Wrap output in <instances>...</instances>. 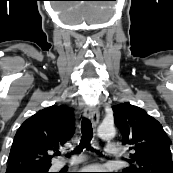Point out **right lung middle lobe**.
Wrapping results in <instances>:
<instances>
[{
    "label": "right lung middle lobe",
    "instance_id": "dd1d6c3e",
    "mask_svg": "<svg viewBox=\"0 0 173 173\" xmlns=\"http://www.w3.org/2000/svg\"><path fill=\"white\" fill-rule=\"evenodd\" d=\"M37 171H42L43 173H49L48 169H42V170H37Z\"/></svg>",
    "mask_w": 173,
    "mask_h": 173
}]
</instances>
